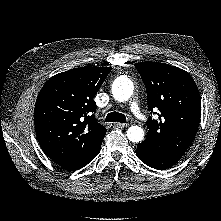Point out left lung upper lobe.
I'll use <instances>...</instances> for the list:
<instances>
[{
    "mask_svg": "<svg viewBox=\"0 0 221 221\" xmlns=\"http://www.w3.org/2000/svg\"><path fill=\"white\" fill-rule=\"evenodd\" d=\"M134 65L146 87L148 110L160 112L158 120L148 119V134L140 145L179 161L200 123L201 102L197 85L178 67L150 61Z\"/></svg>",
    "mask_w": 221,
    "mask_h": 221,
    "instance_id": "obj_1",
    "label": "left lung upper lobe"
}]
</instances>
